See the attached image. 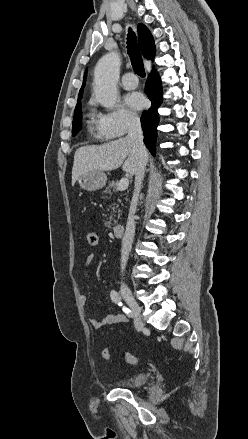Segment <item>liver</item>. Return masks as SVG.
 Instances as JSON below:
<instances>
[{"label":"liver","mask_w":248,"mask_h":439,"mask_svg":"<svg viewBox=\"0 0 248 439\" xmlns=\"http://www.w3.org/2000/svg\"><path fill=\"white\" fill-rule=\"evenodd\" d=\"M148 155V154H147ZM139 154L131 140L119 138L104 145L83 146L76 150L72 168V186L80 176L90 171H111L119 168L134 175Z\"/></svg>","instance_id":"6515ba94"}]
</instances>
